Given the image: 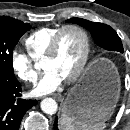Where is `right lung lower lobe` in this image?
Here are the masks:
<instances>
[{"label": "right lung lower lobe", "mask_w": 130, "mask_h": 130, "mask_svg": "<svg viewBox=\"0 0 130 130\" xmlns=\"http://www.w3.org/2000/svg\"><path fill=\"white\" fill-rule=\"evenodd\" d=\"M21 84L16 79L0 71V130H18L20 122L36 100H23L19 97Z\"/></svg>", "instance_id": "1"}]
</instances>
